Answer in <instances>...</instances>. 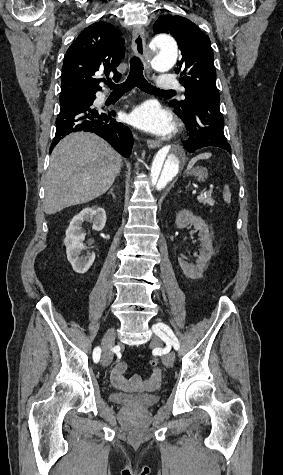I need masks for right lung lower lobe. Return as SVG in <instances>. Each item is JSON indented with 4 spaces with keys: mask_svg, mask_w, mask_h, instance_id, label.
<instances>
[{
    "mask_svg": "<svg viewBox=\"0 0 283 475\" xmlns=\"http://www.w3.org/2000/svg\"><path fill=\"white\" fill-rule=\"evenodd\" d=\"M95 99L94 95L60 102V113L56 119V134L50 153L66 135L77 131H88L105 139L124 157L130 156L133 145L130 129L113 118L115 111L93 108Z\"/></svg>",
    "mask_w": 283,
    "mask_h": 475,
    "instance_id": "98d812e1",
    "label": "right lung lower lobe"
}]
</instances>
